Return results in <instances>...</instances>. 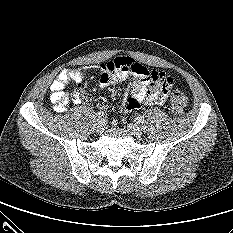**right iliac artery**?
<instances>
[{"mask_svg": "<svg viewBox=\"0 0 233 233\" xmlns=\"http://www.w3.org/2000/svg\"><path fill=\"white\" fill-rule=\"evenodd\" d=\"M103 116H104V113H103V112H98V113H97V120L102 119Z\"/></svg>", "mask_w": 233, "mask_h": 233, "instance_id": "1", "label": "right iliac artery"}]
</instances>
